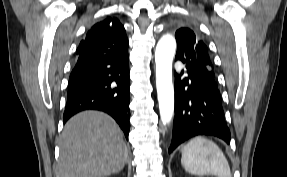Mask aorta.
I'll use <instances>...</instances> for the list:
<instances>
[{
  "instance_id": "762f6f07",
  "label": "aorta",
  "mask_w": 287,
  "mask_h": 177,
  "mask_svg": "<svg viewBox=\"0 0 287 177\" xmlns=\"http://www.w3.org/2000/svg\"><path fill=\"white\" fill-rule=\"evenodd\" d=\"M176 51V40L166 34L158 41L155 50L156 86L161 121L171 122L174 114V89L172 83V62Z\"/></svg>"
}]
</instances>
